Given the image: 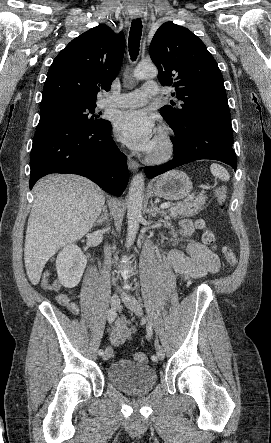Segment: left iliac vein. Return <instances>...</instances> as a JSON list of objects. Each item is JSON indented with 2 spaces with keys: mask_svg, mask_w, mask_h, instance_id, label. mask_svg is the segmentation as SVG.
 Masks as SVG:
<instances>
[{
  "mask_svg": "<svg viewBox=\"0 0 271 443\" xmlns=\"http://www.w3.org/2000/svg\"><path fill=\"white\" fill-rule=\"evenodd\" d=\"M123 302H124L125 306L130 311H132L136 316H138V317L142 316V307L136 298H134L133 296L127 295L124 297ZM156 353H157L159 360L164 359L165 353H164L162 346L159 344L156 346Z\"/></svg>",
  "mask_w": 271,
  "mask_h": 443,
  "instance_id": "left-iliac-vein-1",
  "label": "left iliac vein"
}]
</instances>
